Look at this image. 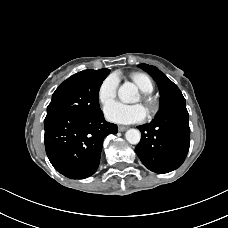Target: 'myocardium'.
Listing matches in <instances>:
<instances>
[{
    "instance_id": "1",
    "label": "myocardium",
    "mask_w": 228,
    "mask_h": 228,
    "mask_svg": "<svg viewBox=\"0 0 228 228\" xmlns=\"http://www.w3.org/2000/svg\"><path fill=\"white\" fill-rule=\"evenodd\" d=\"M142 101L149 113H155L158 110V102L150 94L143 93Z\"/></svg>"
}]
</instances>
